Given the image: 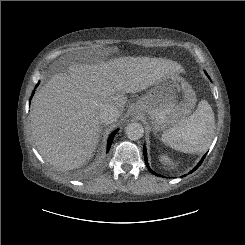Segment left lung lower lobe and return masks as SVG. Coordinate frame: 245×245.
Instances as JSON below:
<instances>
[{
    "label": "left lung lower lobe",
    "mask_w": 245,
    "mask_h": 245,
    "mask_svg": "<svg viewBox=\"0 0 245 245\" xmlns=\"http://www.w3.org/2000/svg\"><path fill=\"white\" fill-rule=\"evenodd\" d=\"M143 152H144V159H145V163H146L147 168H148L154 175L159 176L158 174H156L155 172H153V171L149 168L148 161H147V152H146L145 146L143 147ZM205 156H206V154L202 157V159H201L200 162L197 164V166H196L192 171H190V173L194 172V171L201 165V163L203 162ZM184 176H185V175H184Z\"/></svg>",
    "instance_id": "1"
}]
</instances>
